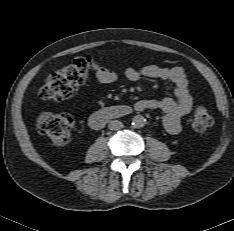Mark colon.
<instances>
[{
    "label": "colon",
    "mask_w": 234,
    "mask_h": 231,
    "mask_svg": "<svg viewBox=\"0 0 234 231\" xmlns=\"http://www.w3.org/2000/svg\"><path fill=\"white\" fill-rule=\"evenodd\" d=\"M99 64L89 56L79 57L50 75L39 91L42 99L62 101L69 98L82 85ZM213 124L209 111L202 105L195 108L192 126L200 133L207 131ZM75 125L74 115L70 112H43L37 118L39 132L47 136L54 146L64 145Z\"/></svg>",
    "instance_id": "obj_1"
}]
</instances>
